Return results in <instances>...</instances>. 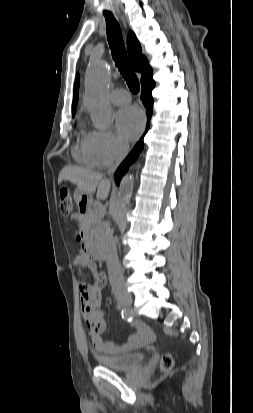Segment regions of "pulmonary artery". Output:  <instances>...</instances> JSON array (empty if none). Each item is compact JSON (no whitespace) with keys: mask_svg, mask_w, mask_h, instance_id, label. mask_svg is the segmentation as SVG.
Listing matches in <instances>:
<instances>
[{"mask_svg":"<svg viewBox=\"0 0 253 413\" xmlns=\"http://www.w3.org/2000/svg\"><path fill=\"white\" fill-rule=\"evenodd\" d=\"M130 100L131 98L129 94L124 89H116L112 91V93L110 94V101L114 105H124V104L129 103Z\"/></svg>","mask_w":253,"mask_h":413,"instance_id":"obj_1","label":"pulmonary artery"}]
</instances>
